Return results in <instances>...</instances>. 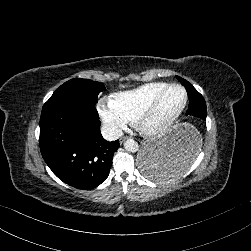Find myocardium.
I'll return each instance as SVG.
<instances>
[{
	"label": "myocardium",
	"mask_w": 251,
	"mask_h": 251,
	"mask_svg": "<svg viewBox=\"0 0 251 251\" xmlns=\"http://www.w3.org/2000/svg\"><path fill=\"white\" fill-rule=\"evenodd\" d=\"M170 88H178V89H181L182 91H184V93H185L184 105H183L180 113L178 114V116L174 120H172L166 124H155L152 121L153 115H154L157 107L159 106L161 100L163 99L165 93ZM189 100H190V95H189L187 88H185L183 85L178 84V83H168L164 88H162L158 92V94L155 96V98L148 104V106L145 108V110L139 116L141 126L144 129H146L149 134H152V135H164V134L172 131L183 120V118L187 112L188 106H189Z\"/></svg>",
	"instance_id": "obj_1"
}]
</instances>
